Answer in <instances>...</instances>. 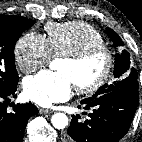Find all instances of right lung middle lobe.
I'll return each mask as SVG.
<instances>
[{
  "instance_id": "1",
  "label": "right lung middle lobe",
  "mask_w": 142,
  "mask_h": 142,
  "mask_svg": "<svg viewBox=\"0 0 142 142\" xmlns=\"http://www.w3.org/2000/svg\"><path fill=\"white\" fill-rule=\"evenodd\" d=\"M34 23L19 16L0 15V90L18 83L14 47L22 32Z\"/></svg>"
}]
</instances>
